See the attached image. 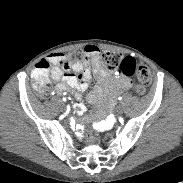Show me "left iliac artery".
Listing matches in <instances>:
<instances>
[{
	"label": "left iliac artery",
	"mask_w": 183,
	"mask_h": 183,
	"mask_svg": "<svg viewBox=\"0 0 183 183\" xmlns=\"http://www.w3.org/2000/svg\"><path fill=\"white\" fill-rule=\"evenodd\" d=\"M118 100L121 101L122 100V97H118Z\"/></svg>",
	"instance_id": "obj_1"
}]
</instances>
